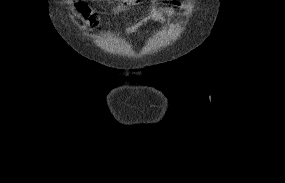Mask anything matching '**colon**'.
Masks as SVG:
<instances>
[{"label": "colon", "instance_id": "5ec220e1", "mask_svg": "<svg viewBox=\"0 0 285 183\" xmlns=\"http://www.w3.org/2000/svg\"><path fill=\"white\" fill-rule=\"evenodd\" d=\"M136 1V0H133ZM78 11L82 14V16L89 21L93 26L96 25L97 20L95 16L91 15L89 8L84 3H79L77 6Z\"/></svg>", "mask_w": 285, "mask_h": 183}]
</instances>
